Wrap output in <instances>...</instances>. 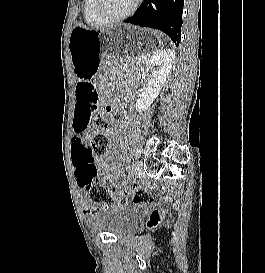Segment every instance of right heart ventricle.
I'll list each match as a JSON object with an SVG mask.
<instances>
[{"label":"right heart ventricle","mask_w":265,"mask_h":273,"mask_svg":"<svg viewBox=\"0 0 265 273\" xmlns=\"http://www.w3.org/2000/svg\"><path fill=\"white\" fill-rule=\"evenodd\" d=\"M94 2L95 0H84V19L85 22L92 27H101L107 23L103 22L98 18L94 11Z\"/></svg>","instance_id":"right-heart-ventricle-1"}]
</instances>
